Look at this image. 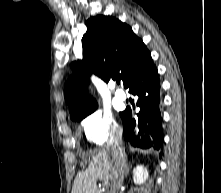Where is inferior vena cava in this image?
<instances>
[{
    "instance_id": "obj_1",
    "label": "inferior vena cava",
    "mask_w": 221,
    "mask_h": 193,
    "mask_svg": "<svg viewBox=\"0 0 221 193\" xmlns=\"http://www.w3.org/2000/svg\"><path fill=\"white\" fill-rule=\"evenodd\" d=\"M122 134L118 131L111 139L108 148L115 154V163L113 170V177L111 179L110 193H118L124 179L126 170V160L122 153Z\"/></svg>"
}]
</instances>
